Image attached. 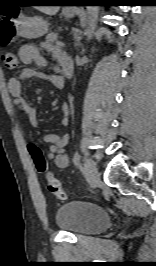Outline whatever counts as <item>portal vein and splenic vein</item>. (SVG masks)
Listing matches in <instances>:
<instances>
[{
  "instance_id": "obj_1",
  "label": "portal vein and splenic vein",
  "mask_w": 156,
  "mask_h": 266,
  "mask_svg": "<svg viewBox=\"0 0 156 266\" xmlns=\"http://www.w3.org/2000/svg\"><path fill=\"white\" fill-rule=\"evenodd\" d=\"M56 45H57L58 47H64V46H65V44L62 43V42H57Z\"/></svg>"
}]
</instances>
